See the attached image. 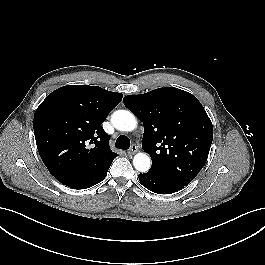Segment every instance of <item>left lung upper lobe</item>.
Here are the masks:
<instances>
[{
  "instance_id": "left-lung-upper-lobe-1",
  "label": "left lung upper lobe",
  "mask_w": 265,
  "mask_h": 265,
  "mask_svg": "<svg viewBox=\"0 0 265 265\" xmlns=\"http://www.w3.org/2000/svg\"><path fill=\"white\" fill-rule=\"evenodd\" d=\"M144 124L143 150L151 156L149 171L183 185L203 168L213 140V126L192 94L159 88L123 99Z\"/></svg>"
}]
</instances>
